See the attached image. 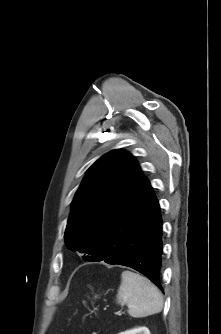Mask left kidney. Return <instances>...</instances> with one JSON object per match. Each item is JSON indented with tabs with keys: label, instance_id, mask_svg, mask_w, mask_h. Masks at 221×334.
Here are the masks:
<instances>
[{
	"label": "left kidney",
	"instance_id": "obj_1",
	"mask_svg": "<svg viewBox=\"0 0 221 334\" xmlns=\"http://www.w3.org/2000/svg\"><path fill=\"white\" fill-rule=\"evenodd\" d=\"M118 334H150V331L146 327H139V328L121 332Z\"/></svg>",
	"mask_w": 221,
	"mask_h": 334
}]
</instances>
